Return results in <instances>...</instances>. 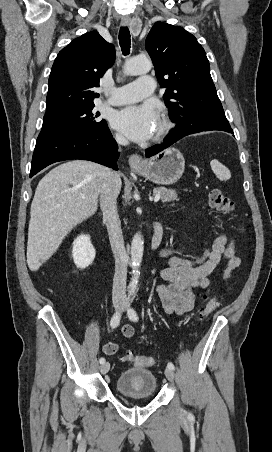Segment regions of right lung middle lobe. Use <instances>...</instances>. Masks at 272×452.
I'll list each match as a JSON object with an SVG mask.
<instances>
[{"label": "right lung middle lobe", "instance_id": "right-lung-middle-lobe-1", "mask_svg": "<svg viewBox=\"0 0 272 452\" xmlns=\"http://www.w3.org/2000/svg\"><path fill=\"white\" fill-rule=\"evenodd\" d=\"M94 104L78 108L45 114L42 131L52 129L94 130L107 125L104 119L99 120V113L92 112Z\"/></svg>", "mask_w": 272, "mask_h": 452}]
</instances>
